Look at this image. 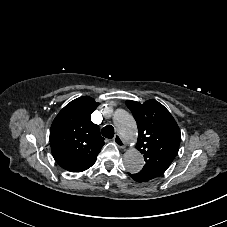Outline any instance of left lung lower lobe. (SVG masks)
<instances>
[{"label":"left lung lower lobe","instance_id":"1","mask_svg":"<svg viewBox=\"0 0 227 227\" xmlns=\"http://www.w3.org/2000/svg\"><path fill=\"white\" fill-rule=\"evenodd\" d=\"M129 174V176L131 177V178H133L135 181H137V182H146V181H149V179H146V178H144V177H141V176H139V175H137V174H130V173H128Z\"/></svg>","mask_w":227,"mask_h":227}]
</instances>
